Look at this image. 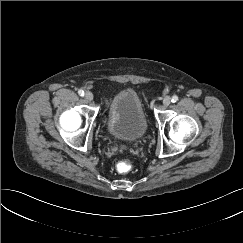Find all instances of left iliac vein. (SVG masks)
Wrapping results in <instances>:
<instances>
[{"instance_id":"4c4485c4","label":"left iliac vein","mask_w":243,"mask_h":243,"mask_svg":"<svg viewBox=\"0 0 243 243\" xmlns=\"http://www.w3.org/2000/svg\"><path fill=\"white\" fill-rule=\"evenodd\" d=\"M170 103H171V98L169 96L163 98V104L165 106H168Z\"/></svg>"}]
</instances>
